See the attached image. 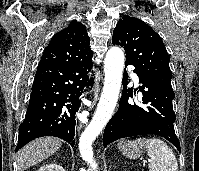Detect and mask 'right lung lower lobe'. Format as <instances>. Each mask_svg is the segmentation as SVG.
Segmentation results:
<instances>
[{
	"label": "right lung lower lobe",
	"instance_id": "obj_1",
	"mask_svg": "<svg viewBox=\"0 0 199 171\" xmlns=\"http://www.w3.org/2000/svg\"><path fill=\"white\" fill-rule=\"evenodd\" d=\"M92 58L75 64L39 65L32 85L26 117L19 127L17 152L42 136H55L74 147L75 114L88 79Z\"/></svg>",
	"mask_w": 199,
	"mask_h": 171
}]
</instances>
